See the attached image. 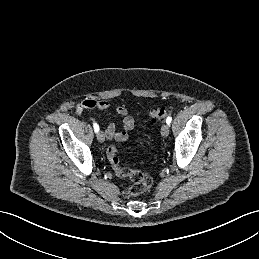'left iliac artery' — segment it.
Here are the masks:
<instances>
[{
    "mask_svg": "<svg viewBox=\"0 0 259 259\" xmlns=\"http://www.w3.org/2000/svg\"><path fill=\"white\" fill-rule=\"evenodd\" d=\"M171 121H172V118L169 116V117H167V119H166V123L168 124V125H170L171 124Z\"/></svg>",
    "mask_w": 259,
    "mask_h": 259,
    "instance_id": "1",
    "label": "left iliac artery"
}]
</instances>
